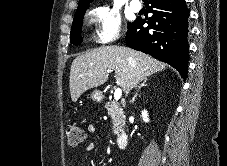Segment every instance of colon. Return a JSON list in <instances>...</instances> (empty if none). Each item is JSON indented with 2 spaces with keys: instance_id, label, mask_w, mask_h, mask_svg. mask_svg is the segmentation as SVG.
Here are the masks:
<instances>
[{
  "instance_id": "1",
  "label": "colon",
  "mask_w": 227,
  "mask_h": 166,
  "mask_svg": "<svg viewBox=\"0 0 227 166\" xmlns=\"http://www.w3.org/2000/svg\"><path fill=\"white\" fill-rule=\"evenodd\" d=\"M66 139L69 146H77L86 139V134L75 124H68L65 129Z\"/></svg>"
}]
</instances>
